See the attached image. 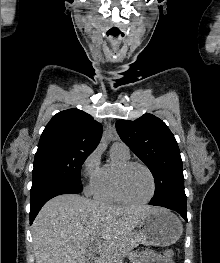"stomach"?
I'll return each instance as SVG.
<instances>
[{
    "label": "stomach",
    "mask_w": 220,
    "mask_h": 263,
    "mask_svg": "<svg viewBox=\"0 0 220 263\" xmlns=\"http://www.w3.org/2000/svg\"><path fill=\"white\" fill-rule=\"evenodd\" d=\"M141 242L152 246H169L182 235L183 226L178 217L170 211L157 208L150 211L139 224Z\"/></svg>",
    "instance_id": "stomach-1"
}]
</instances>
